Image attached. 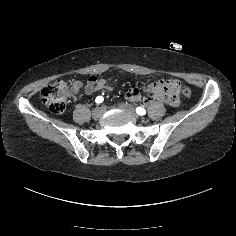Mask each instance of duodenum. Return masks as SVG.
I'll return each mask as SVG.
<instances>
[{"instance_id": "duodenum-1", "label": "duodenum", "mask_w": 236, "mask_h": 236, "mask_svg": "<svg viewBox=\"0 0 236 236\" xmlns=\"http://www.w3.org/2000/svg\"><path fill=\"white\" fill-rule=\"evenodd\" d=\"M158 101H163L171 106H175L177 104V97L174 85L167 82L160 83L156 87L155 93L144 100V104L150 105Z\"/></svg>"}]
</instances>
